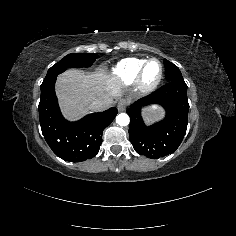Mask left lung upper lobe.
Returning <instances> with one entry per match:
<instances>
[{"label": "left lung upper lobe", "mask_w": 236, "mask_h": 236, "mask_svg": "<svg viewBox=\"0 0 236 236\" xmlns=\"http://www.w3.org/2000/svg\"><path fill=\"white\" fill-rule=\"evenodd\" d=\"M164 65L166 68L165 77L167 81H176V80H184L182 74L178 67L171 63L170 61L164 59Z\"/></svg>", "instance_id": "1"}]
</instances>
